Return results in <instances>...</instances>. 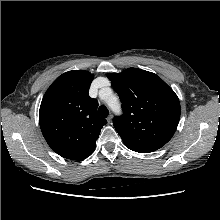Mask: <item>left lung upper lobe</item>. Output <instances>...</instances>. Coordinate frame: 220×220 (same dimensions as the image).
Instances as JSON below:
<instances>
[{
  "mask_svg": "<svg viewBox=\"0 0 220 220\" xmlns=\"http://www.w3.org/2000/svg\"><path fill=\"white\" fill-rule=\"evenodd\" d=\"M122 102L124 114L114 117V128L124 144L139 153L161 148L174 135L180 119L175 92L156 74L138 68L108 73Z\"/></svg>",
  "mask_w": 220,
  "mask_h": 220,
  "instance_id": "left-lung-upper-lobe-1",
  "label": "left lung upper lobe"
}]
</instances>
